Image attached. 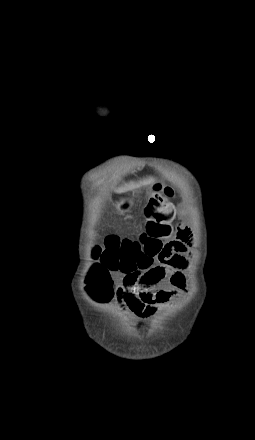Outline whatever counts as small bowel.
<instances>
[{"label":"small bowel","instance_id":"obj_1","mask_svg":"<svg viewBox=\"0 0 255 440\" xmlns=\"http://www.w3.org/2000/svg\"><path fill=\"white\" fill-rule=\"evenodd\" d=\"M165 252L157 265L126 273L116 288L110 284L107 300L114 299L123 311L131 312L140 320L154 316L161 306L171 305L175 297L187 291L184 270L192 257V240L187 227H179ZM167 277L170 288L158 289Z\"/></svg>","mask_w":255,"mask_h":440}]
</instances>
